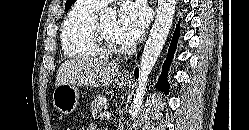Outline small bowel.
Wrapping results in <instances>:
<instances>
[{
    "label": "small bowel",
    "instance_id": "1",
    "mask_svg": "<svg viewBox=\"0 0 249 130\" xmlns=\"http://www.w3.org/2000/svg\"><path fill=\"white\" fill-rule=\"evenodd\" d=\"M87 130H100L96 125H90Z\"/></svg>",
    "mask_w": 249,
    "mask_h": 130
}]
</instances>
